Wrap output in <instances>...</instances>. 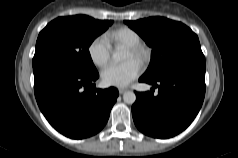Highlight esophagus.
I'll list each match as a JSON object with an SVG mask.
<instances>
[{
	"mask_svg": "<svg viewBox=\"0 0 238 158\" xmlns=\"http://www.w3.org/2000/svg\"><path fill=\"white\" fill-rule=\"evenodd\" d=\"M118 91H119L120 94H123V93H125V92L127 91V89H125V88H120Z\"/></svg>",
	"mask_w": 238,
	"mask_h": 158,
	"instance_id": "1",
	"label": "esophagus"
}]
</instances>
